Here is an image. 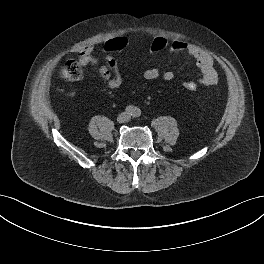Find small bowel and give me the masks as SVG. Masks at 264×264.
<instances>
[{
    "label": "small bowel",
    "instance_id": "1",
    "mask_svg": "<svg viewBox=\"0 0 264 264\" xmlns=\"http://www.w3.org/2000/svg\"><path fill=\"white\" fill-rule=\"evenodd\" d=\"M94 48L95 46L93 44H88L75 51L78 55L80 64L82 66H96L100 78L106 82L110 89L119 88L124 81V77L116 60L111 53L104 49L103 55L106 64H102L100 60L93 55ZM169 52L184 53L195 61L197 68L201 72V77L197 80L199 84L203 86H212L217 83L218 74L211 56L197 46L182 40H174L169 45ZM143 77L147 80H155L161 77L166 81H171L174 79L175 74L170 70L161 72L158 68H148L143 72Z\"/></svg>",
    "mask_w": 264,
    "mask_h": 264
}]
</instances>
